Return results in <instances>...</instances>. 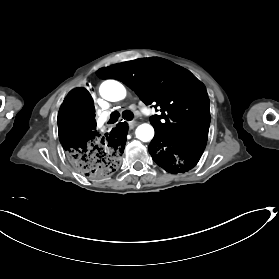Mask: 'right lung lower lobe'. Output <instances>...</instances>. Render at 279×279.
<instances>
[{"label": "right lung lower lobe", "mask_w": 279, "mask_h": 279, "mask_svg": "<svg viewBox=\"0 0 279 279\" xmlns=\"http://www.w3.org/2000/svg\"><path fill=\"white\" fill-rule=\"evenodd\" d=\"M95 108L90 93L73 89L58 112L59 139L72 168L85 176L103 178L119 166L126 143L125 124L109 133L96 130Z\"/></svg>", "instance_id": "1"}]
</instances>
